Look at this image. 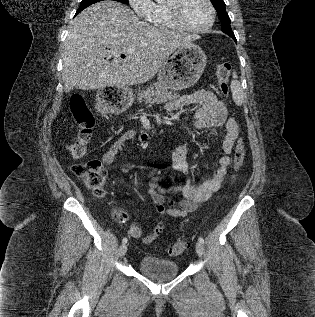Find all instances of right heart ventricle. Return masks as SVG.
<instances>
[{
  "label": "right heart ventricle",
  "instance_id": "right-heart-ventricle-1",
  "mask_svg": "<svg viewBox=\"0 0 315 317\" xmlns=\"http://www.w3.org/2000/svg\"><path fill=\"white\" fill-rule=\"evenodd\" d=\"M154 26L163 29H173L175 26L171 23L165 5H156L155 11L149 20Z\"/></svg>",
  "mask_w": 315,
  "mask_h": 317
}]
</instances>
